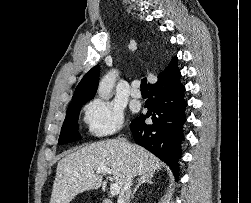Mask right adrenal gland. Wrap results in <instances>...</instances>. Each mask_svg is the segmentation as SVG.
<instances>
[{
	"label": "right adrenal gland",
	"instance_id": "1",
	"mask_svg": "<svg viewBox=\"0 0 251 203\" xmlns=\"http://www.w3.org/2000/svg\"><path fill=\"white\" fill-rule=\"evenodd\" d=\"M152 178H153V173H148L145 175L140 176V178L138 179V184L135 186L132 194H131V198H134V195L136 193V191L138 190V188L143 185L144 183H148V184H152Z\"/></svg>",
	"mask_w": 251,
	"mask_h": 203
}]
</instances>
